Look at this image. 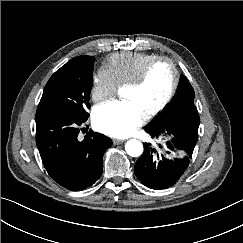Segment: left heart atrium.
<instances>
[{"mask_svg":"<svg viewBox=\"0 0 243 243\" xmlns=\"http://www.w3.org/2000/svg\"><path fill=\"white\" fill-rule=\"evenodd\" d=\"M145 115L130 101H111L95 108L93 123L102 133L112 137H127L139 127Z\"/></svg>","mask_w":243,"mask_h":243,"instance_id":"left-heart-atrium-1","label":"left heart atrium"}]
</instances>
